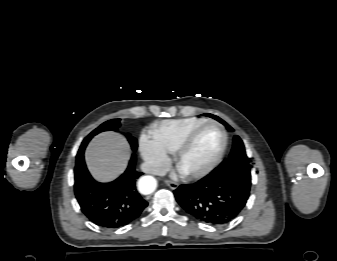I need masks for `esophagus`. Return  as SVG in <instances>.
Here are the masks:
<instances>
[{
	"label": "esophagus",
	"mask_w": 337,
	"mask_h": 261,
	"mask_svg": "<svg viewBox=\"0 0 337 261\" xmlns=\"http://www.w3.org/2000/svg\"><path fill=\"white\" fill-rule=\"evenodd\" d=\"M165 184L167 185V186H169L171 189H177L178 188V186H179V184L178 183H176V182H173V181H170V180H166L165 181Z\"/></svg>",
	"instance_id": "1"
}]
</instances>
